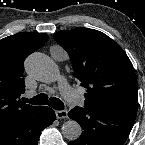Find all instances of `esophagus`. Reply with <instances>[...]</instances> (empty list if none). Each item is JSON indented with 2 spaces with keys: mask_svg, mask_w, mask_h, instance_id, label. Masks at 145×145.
Instances as JSON below:
<instances>
[{
  "mask_svg": "<svg viewBox=\"0 0 145 145\" xmlns=\"http://www.w3.org/2000/svg\"><path fill=\"white\" fill-rule=\"evenodd\" d=\"M55 114L58 119H64L68 117V112L66 110H57L55 111Z\"/></svg>",
  "mask_w": 145,
  "mask_h": 145,
  "instance_id": "1",
  "label": "esophagus"
}]
</instances>
